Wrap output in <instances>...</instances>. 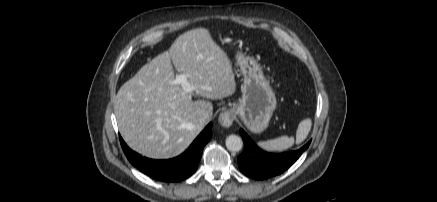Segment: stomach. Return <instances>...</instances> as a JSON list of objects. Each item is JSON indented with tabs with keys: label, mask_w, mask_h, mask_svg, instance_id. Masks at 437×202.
<instances>
[{
	"label": "stomach",
	"mask_w": 437,
	"mask_h": 202,
	"mask_svg": "<svg viewBox=\"0 0 437 202\" xmlns=\"http://www.w3.org/2000/svg\"><path fill=\"white\" fill-rule=\"evenodd\" d=\"M237 64L244 77L242 97L230 111L239 116L251 132L261 133L267 128L276 108L275 94L256 60L238 53Z\"/></svg>",
	"instance_id": "1"
}]
</instances>
